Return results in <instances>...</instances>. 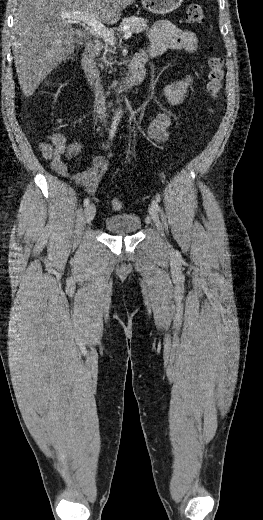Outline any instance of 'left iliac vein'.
<instances>
[{
    "mask_svg": "<svg viewBox=\"0 0 263 520\" xmlns=\"http://www.w3.org/2000/svg\"><path fill=\"white\" fill-rule=\"evenodd\" d=\"M149 214H150V217H151L153 223L156 225L157 229L160 231L161 235H164L162 225H161V222L159 219V215L157 213V210L153 206L149 207Z\"/></svg>",
    "mask_w": 263,
    "mask_h": 520,
    "instance_id": "4c4485c4",
    "label": "left iliac vein"
}]
</instances>
